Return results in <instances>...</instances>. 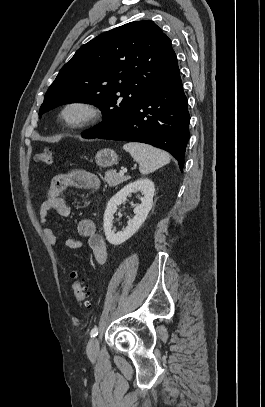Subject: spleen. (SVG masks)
<instances>
[{
    "label": "spleen",
    "instance_id": "obj_1",
    "mask_svg": "<svg viewBox=\"0 0 265 407\" xmlns=\"http://www.w3.org/2000/svg\"><path fill=\"white\" fill-rule=\"evenodd\" d=\"M123 148L139 163V170L143 175L149 174L170 162L168 153L151 145L129 142Z\"/></svg>",
    "mask_w": 265,
    "mask_h": 407
}]
</instances>
